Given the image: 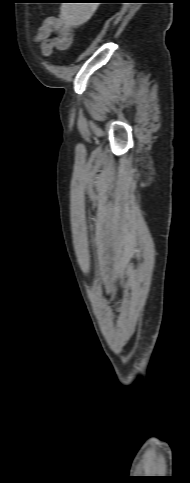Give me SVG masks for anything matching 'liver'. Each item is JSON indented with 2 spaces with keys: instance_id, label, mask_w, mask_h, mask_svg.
<instances>
[{
  "instance_id": "1",
  "label": "liver",
  "mask_w": 190,
  "mask_h": 483,
  "mask_svg": "<svg viewBox=\"0 0 190 483\" xmlns=\"http://www.w3.org/2000/svg\"><path fill=\"white\" fill-rule=\"evenodd\" d=\"M98 5L99 3H62L60 20L67 26L78 27L92 17Z\"/></svg>"
}]
</instances>
